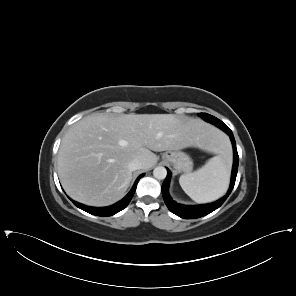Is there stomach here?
Here are the masks:
<instances>
[{
    "label": "stomach",
    "instance_id": "0dacf381",
    "mask_svg": "<svg viewBox=\"0 0 296 296\" xmlns=\"http://www.w3.org/2000/svg\"><path fill=\"white\" fill-rule=\"evenodd\" d=\"M162 159L170 163L178 172L189 173L192 171L193 161L183 151H167L163 154Z\"/></svg>",
    "mask_w": 296,
    "mask_h": 296
}]
</instances>
